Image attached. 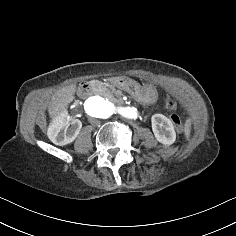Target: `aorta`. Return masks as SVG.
I'll use <instances>...</instances> for the list:
<instances>
[{
	"label": "aorta",
	"instance_id": "762f6f07",
	"mask_svg": "<svg viewBox=\"0 0 236 236\" xmlns=\"http://www.w3.org/2000/svg\"><path fill=\"white\" fill-rule=\"evenodd\" d=\"M84 111L89 118L107 119L116 112L127 119H137L138 112L134 107L117 108L114 103L99 96L89 97L84 102Z\"/></svg>",
	"mask_w": 236,
	"mask_h": 236
}]
</instances>
